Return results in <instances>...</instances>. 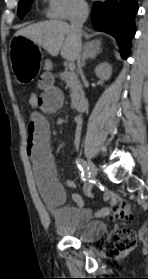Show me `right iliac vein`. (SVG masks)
<instances>
[{
	"mask_svg": "<svg viewBox=\"0 0 148 279\" xmlns=\"http://www.w3.org/2000/svg\"><path fill=\"white\" fill-rule=\"evenodd\" d=\"M88 167H89L90 176L92 178H95L97 175V169H96L94 162L90 159L88 160ZM86 188H87V186H85V189Z\"/></svg>",
	"mask_w": 148,
	"mask_h": 279,
	"instance_id": "obj_1",
	"label": "right iliac vein"
}]
</instances>
